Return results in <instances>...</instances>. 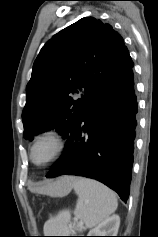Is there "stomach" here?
Returning a JSON list of instances; mask_svg holds the SVG:
<instances>
[{
  "instance_id": "stomach-1",
  "label": "stomach",
  "mask_w": 158,
  "mask_h": 237,
  "mask_svg": "<svg viewBox=\"0 0 158 237\" xmlns=\"http://www.w3.org/2000/svg\"><path fill=\"white\" fill-rule=\"evenodd\" d=\"M72 188H73V184H66L62 186L61 188H59L54 194V196H64L68 194Z\"/></svg>"
}]
</instances>
